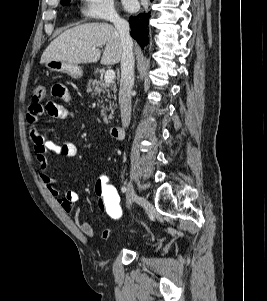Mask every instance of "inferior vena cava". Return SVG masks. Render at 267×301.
Instances as JSON below:
<instances>
[{
    "mask_svg": "<svg viewBox=\"0 0 267 301\" xmlns=\"http://www.w3.org/2000/svg\"><path fill=\"white\" fill-rule=\"evenodd\" d=\"M122 45L121 80L119 89V105L123 127L127 128L131 120V90L134 85L133 40L130 36L129 23L117 14L111 17Z\"/></svg>",
    "mask_w": 267,
    "mask_h": 301,
    "instance_id": "1",
    "label": "inferior vena cava"
}]
</instances>
